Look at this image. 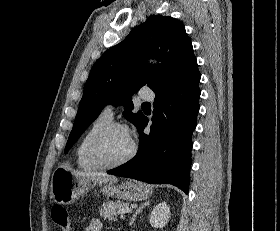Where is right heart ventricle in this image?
I'll use <instances>...</instances> for the list:
<instances>
[{"mask_svg":"<svg viewBox=\"0 0 280 231\" xmlns=\"http://www.w3.org/2000/svg\"><path fill=\"white\" fill-rule=\"evenodd\" d=\"M109 122H111V118L103 114L99 115L90 123L87 130L76 144L74 158L79 169L83 171H94L100 169L89 161L87 157V147L91 138Z\"/></svg>","mask_w":280,"mask_h":231,"instance_id":"right-heart-ventricle-1","label":"right heart ventricle"}]
</instances>
